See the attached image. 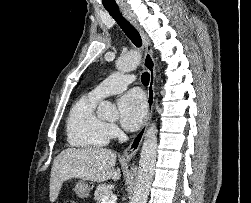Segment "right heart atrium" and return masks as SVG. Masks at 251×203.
I'll return each instance as SVG.
<instances>
[{"label": "right heart atrium", "instance_id": "right-heart-atrium-1", "mask_svg": "<svg viewBox=\"0 0 251 203\" xmlns=\"http://www.w3.org/2000/svg\"><path fill=\"white\" fill-rule=\"evenodd\" d=\"M107 129H108V133L111 137L116 136L119 132V130L115 124H108Z\"/></svg>", "mask_w": 251, "mask_h": 203}]
</instances>
